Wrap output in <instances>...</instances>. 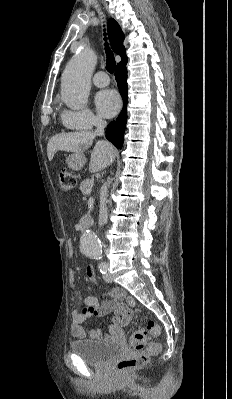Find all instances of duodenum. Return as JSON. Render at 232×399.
Here are the masks:
<instances>
[{"mask_svg": "<svg viewBox=\"0 0 232 399\" xmlns=\"http://www.w3.org/2000/svg\"><path fill=\"white\" fill-rule=\"evenodd\" d=\"M80 225H81V230H83V231H85L89 228V224L86 219L82 220Z\"/></svg>", "mask_w": 232, "mask_h": 399, "instance_id": "duodenum-1", "label": "duodenum"}]
</instances>
